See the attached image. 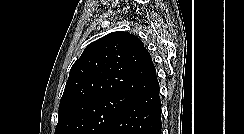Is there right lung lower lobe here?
<instances>
[{"mask_svg":"<svg viewBox=\"0 0 244 134\" xmlns=\"http://www.w3.org/2000/svg\"><path fill=\"white\" fill-rule=\"evenodd\" d=\"M159 85L139 93L101 134H161Z\"/></svg>","mask_w":244,"mask_h":134,"instance_id":"98d812e1","label":"right lung lower lobe"}]
</instances>
